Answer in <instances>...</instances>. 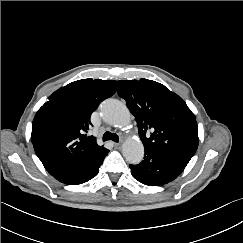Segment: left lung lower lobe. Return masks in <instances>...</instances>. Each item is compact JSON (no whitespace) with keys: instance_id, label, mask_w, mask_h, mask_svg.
Returning a JSON list of instances; mask_svg holds the SVG:
<instances>
[{"instance_id":"0a47b994","label":"left lung lower lobe","mask_w":243,"mask_h":243,"mask_svg":"<svg viewBox=\"0 0 243 243\" xmlns=\"http://www.w3.org/2000/svg\"><path fill=\"white\" fill-rule=\"evenodd\" d=\"M145 148L144 160L130 165L133 177L149 186H160L174 180L193 155L174 151Z\"/></svg>"}]
</instances>
